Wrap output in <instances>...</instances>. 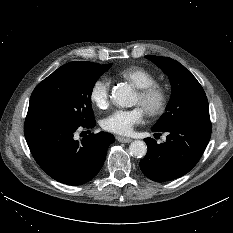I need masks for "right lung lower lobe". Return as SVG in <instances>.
<instances>
[{
  "instance_id": "right-lung-lower-lobe-1",
  "label": "right lung lower lobe",
  "mask_w": 233,
  "mask_h": 233,
  "mask_svg": "<svg viewBox=\"0 0 233 233\" xmlns=\"http://www.w3.org/2000/svg\"><path fill=\"white\" fill-rule=\"evenodd\" d=\"M81 126L92 128L95 123L80 125L44 114H27L25 120V138L34 159L50 177L63 184L90 181L100 171L107 149L115 141L106 132L75 140L74 132Z\"/></svg>"
}]
</instances>
